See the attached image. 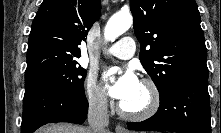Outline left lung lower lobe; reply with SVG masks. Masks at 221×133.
Returning <instances> with one entry per match:
<instances>
[{
    "mask_svg": "<svg viewBox=\"0 0 221 133\" xmlns=\"http://www.w3.org/2000/svg\"><path fill=\"white\" fill-rule=\"evenodd\" d=\"M137 131L211 133L208 80L185 77L160 95L155 115L142 122H128Z\"/></svg>",
    "mask_w": 221,
    "mask_h": 133,
    "instance_id": "1",
    "label": "left lung lower lobe"
}]
</instances>
